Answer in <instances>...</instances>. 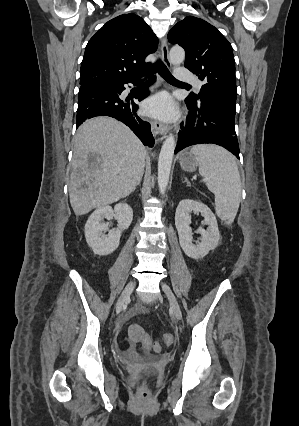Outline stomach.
Masks as SVG:
<instances>
[{"instance_id": "obj_1", "label": "stomach", "mask_w": 299, "mask_h": 426, "mask_svg": "<svg viewBox=\"0 0 299 426\" xmlns=\"http://www.w3.org/2000/svg\"><path fill=\"white\" fill-rule=\"evenodd\" d=\"M180 165L181 168L188 172H193L199 166L196 158L189 152L185 151L180 156Z\"/></svg>"}]
</instances>
